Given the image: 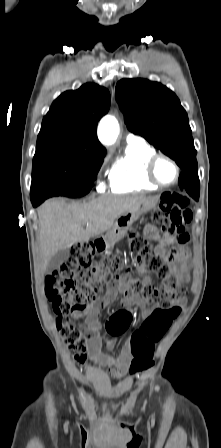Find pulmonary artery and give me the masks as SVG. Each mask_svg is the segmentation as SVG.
<instances>
[{
  "label": "pulmonary artery",
  "mask_w": 221,
  "mask_h": 448,
  "mask_svg": "<svg viewBox=\"0 0 221 448\" xmlns=\"http://www.w3.org/2000/svg\"><path fill=\"white\" fill-rule=\"evenodd\" d=\"M127 142L128 143H137V142H143V141H142V137H140L138 135L130 134L127 137Z\"/></svg>",
  "instance_id": "obj_1"
}]
</instances>
